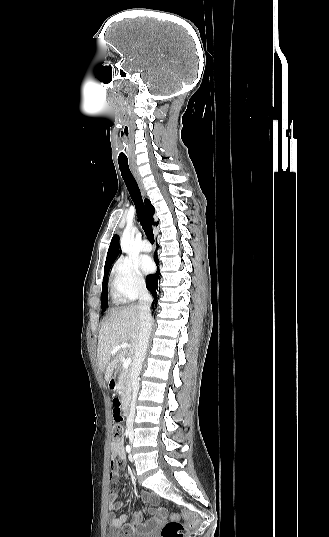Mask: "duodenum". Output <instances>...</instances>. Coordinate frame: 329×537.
<instances>
[{
  "label": "duodenum",
  "mask_w": 329,
  "mask_h": 537,
  "mask_svg": "<svg viewBox=\"0 0 329 537\" xmlns=\"http://www.w3.org/2000/svg\"><path fill=\"white\" fill-rule=\"evenodd\" d=\"M108 386H109V389L110 390H116V387H117V382L115 379H111L108 383ZM118 405L119 407L122 409V413L123 415H126L128 413V404L127 402L125 401H122V402H118Z\"/></svg>",
  "instance_id": "duodenum-1"
}]
</instances>
